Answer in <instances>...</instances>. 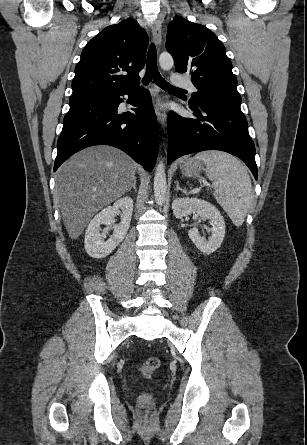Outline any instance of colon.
<instances>
[{
	"mask_svg": "<svg viewBox=\"0 0 307 445\" xmlns=\"http://www.w3.org/2000/svg\"><path fill=\"white\" fill-rule=\"evenodd\" d=\"M160 366V361L156 357L146 359L139 368V372L144 377H149ZM139 405L142 409H150L153 405L152 397L149 394H143L139 398Z\"/></svg>",
	"mask_w": 307,
	"mask_h": 445,
	"instance_id": "obj_1",
	"label": "colon"
}]
</instances>
